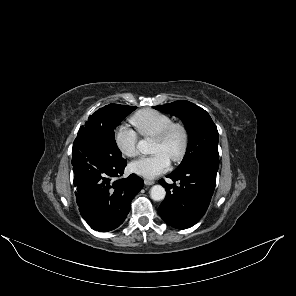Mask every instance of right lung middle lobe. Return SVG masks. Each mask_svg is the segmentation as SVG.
<instances>
[{
  "label": "right lung middle lobe",
  "mask_w": 296,
  "mask_h": 296,
  "mask_svg": "<svg viewBox=\"0 0 296 296\" xmlns=\"http://www.w3.org/2000/svg\"><path fill=\"white\" fill-rule=\"evenodd\" d=\"M136 106L109 104L89 116L78 131V138H92L111 150L115 157H122L115 141L114 129L128 116Z\"/></svg>",
  "instance_id": "1"
}]
</instances>
